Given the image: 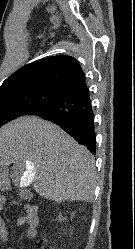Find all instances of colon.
<instances>
[{
  "mask_svg": "<svg viewBox=\"0 0 135 249\" xmlns=\"http://www.w3.org/2000/svg\"><path fill=\"white\" fill-rule=\"evenodd\" d=\"M39 249H56V248L50 247V246L46 245L43 241H41L39 244Z\"/></svg>",
  "mask_w": 135,
  "mask_h": 249,
  "instance_id": "5ec220e1",
  "label": "colon"
}]
</instances>
